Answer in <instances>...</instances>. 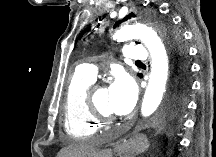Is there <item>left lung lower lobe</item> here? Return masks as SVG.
Returning <instances> with one entry per match:
<instances>
[{
  "label": "left lung lower lobe",
  "mask_w": 216,
  "mask_h": 157,
  "mask_svg": "<svg viewBox=\"0 0 216 157\" xmlns=\"http://www.w3.org/2000/svg\"><path fill=\"white\" fill-rule=\"evenodd\" d=\"M189 88L190 82L188 80V76L185 82L181 83L179 78L173 74L170 82V93L164 113L166 119L173 118L176 113L182 109L184 105V98Z\"/></svg>",
  "instance_id": "obj_1"
}]
</instances>
